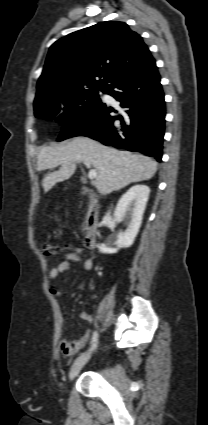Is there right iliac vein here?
<instances>
[{
	"mask_svg": "<svg viewBox=\"0 0 208 425\" xmlns=\"http://www.w3.org/2000/svg\"><path fill=\"white\" fill-rule=\"evenodd\" d=\"M90 357L91 353H83L74 361L69 372L70 380H73L78 375L83 366L89 361Z\"/></svg>",
	"mask_w": 208,
	"mask_h": 425,
	"instance_id": "63e3f726",
	"label": "right iliac vein"
}]
</instances>
